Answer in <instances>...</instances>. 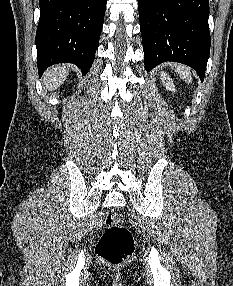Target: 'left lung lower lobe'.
Listing matches in <instances>:
<instances>
[{"label": "left lung lower lobe", "instance_id": "obj_1", "mask_svg": "<svg viewBox=\"0 0 233 286\" xmlns=\"http://www.w3.org/2000/svg\"><path fill=\"white\" fill-rule=\"evenodd\" d=\"M144 64H186L201 81L210 54L209 0H138Z\"/></svg>", "mask_w": 233, "mask_h": 286}]
</instances>
